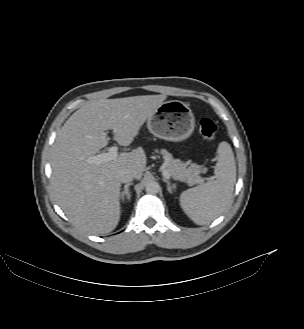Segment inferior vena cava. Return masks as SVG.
I'll use <instances>...</instances> for the list:
<instances>
[{
  "label": "inferior vena cava",
  "instance_id": "inferior-vena-cava-1",
  "mask_svg": "<svg viewBox=\"0 0 304 329\" xmlns=\"http://www.w3.org/2000/svg\"><path fill=\"white\" fill-rule=\"evenodd\" d=\"M134 174L128 169L120 170L118 173V179L121 183H129L133 180Z\"/></svg>",
  "mask_w": 304,
  "mask_h": 329
}]
</instances>
